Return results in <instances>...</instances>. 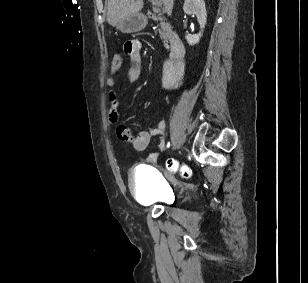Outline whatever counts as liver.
Listing matches in <instances>:
<instances>
[{"label":"liver","mask_w":308,"mask_h":283,"mask_svg":"<svg viewBox=\"0 0 308 283\" xmlns=\"http://www.w3.org/2000/svg\"><path fill=\"white\" fill-rule=\"evenodd\" d=\"M168 14L171 13L174 0H161ZM143 8V0H107V22L116 26L128 16L139 13Z\"/></svg>","instance_id":"obj_1"}]
</instances>
